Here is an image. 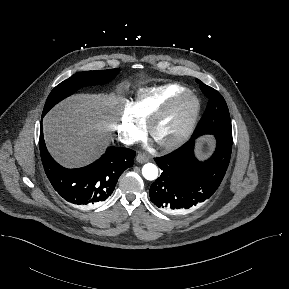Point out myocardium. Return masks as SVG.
Instances as JSON below:
<instances>
[{"instance_id":"obj_1","label":"myocardium","mask_w":289,"mask_h":289,"mask_svg":"<svg viewBox=\"0 0 289 289\" xmlns=\"http://www.w3.org/2000/svg\"><path fill=\"white\" fill-rule=\"evenodd\" d=\"M184 99H188L191 102L189 116L181 131L173 139L162 142L156 141L163 149L170 150L177 148L190 137L200 113L201 104L199 97L192 90L184 89L167 99L147 120V132L154 139L153 133L157 123L164 118L178 102Z\"/></svg>"}]
</instances>
